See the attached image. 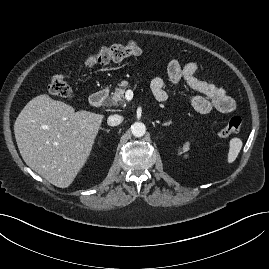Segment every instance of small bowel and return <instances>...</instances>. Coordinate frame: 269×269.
I'll return each instance as SVG.
<instances>
[{
	"label": "small bowel",
	"instance_id": "obj_1",
	"mask_svg": "<svg viewBox=\"0 0 269 269\" xmlns=\"http://www.w3.org/2000/svg\"><path fill=\"white\" fill-rule=\"evenodd\" d=\"M198 65L195 62L181 64L178 60L172 59L167 64V77L170 82L178 83L184 80L187 85L198 92V95L190 96L189 105L197 112L205 114L212 110L221 113H230L235 109V101L222 88L199 79L196 76ZM151 90L158 101H164L167 97L165 92V81L154 78L151 81Z\"/></svg>",
	"mask_w": 269,
	"mask_h": 269
}]
</instances>
